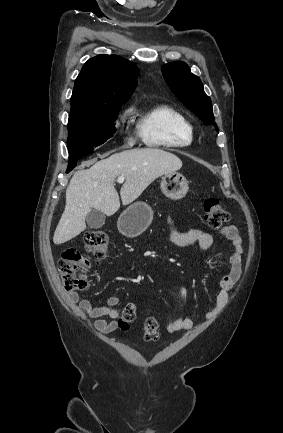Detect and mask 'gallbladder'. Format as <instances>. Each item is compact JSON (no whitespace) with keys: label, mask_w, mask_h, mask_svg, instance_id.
Instances as JSON below:
<instances>
[{"label":"gallbladder","mask_w":283,"mask_h":433,"mask_svg":"<svg viewBox=\"0 0 283 433\" xmlns=\"http://www.w3.org/2000/svg\"><path fill=\"white\" fill-rule=\"evenodd\" d=\"M86 221L90 229H101L105 225L106 217L104 212L97 210V208H91L90 212L86 214Z\"/></svg>","instance_id":"1"}]
</instances>
